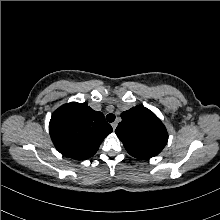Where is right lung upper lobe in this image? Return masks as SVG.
Wrapping results in <instances>:
<instances>
[{
	"label": "right lung upper lobe",
	"mask_w": 220,
	"mask_h": 220,
	"mask_svg": "<svg viewBox=\"0 0 220 220\" xmlns=\"http://www.w3.org/2000/svg\"><path fill=\"white\" fill-rule=\"evenodd\" d=\"M49 132L61 154L84 160L97 152L112 127L101 112L94 111L86 102H71L52 114Z\"/></svg>",
	"instance_id": "right-lung-upper-lobe-1"
}]
</instances>
